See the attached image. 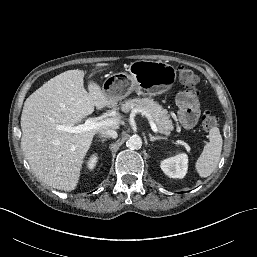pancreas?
<instances>
[{
    "label": "pancreas",
    "mask_w": 257,
    "mask_h": 257,
    "mask_svg": "<svg viewBox=\"0 0 257 257\" xmlns=\"http://www.w3.org/2000/svg\"><path fill=\"white\" fill-rule=\"evenodd\" d=\"M121 108L125 113L135 112L142 115H148L155 122L158 131L166 136H169L171 131L174 129L173 123L167 111L153 99H130L126 101Z\"/></svg>",
    "instance_id": "cf45deb5"
}]
</instances>
